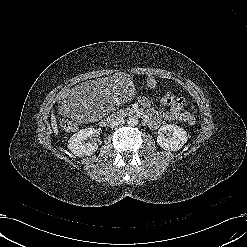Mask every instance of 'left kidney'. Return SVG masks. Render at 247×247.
I'll list each match as a JSON object with an SVG mask.
<instances>
[{"mask_svg":"<svg viewBox=\"0 0 247 247\" xmlns=\"http://www.w3.org/2000/svg\"><path fill=\"white\" fill-rule=\"evenodd\" d=\"M164 132L167 136L163 134ZM187 140V132L175 124H165L158 131L157 144L164 150L177 151Z\"/></svg>","mask_w":247,"mask_h":247,"instance_id":"5707ae66","label":"left kidney"}]
</instances>
